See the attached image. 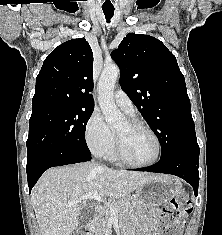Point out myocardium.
Listing matches in <instances>:
<instances>
[{
	"label": "myocardium",
	"instance_id": "f54148a6",
	"mask_svg": "<svg viewBox=\"0 0 222 235\" xmlns=\"http://www.w3.org/2000/svg\"><path fill=\"white\" fill-rule=\"evenodd\" d=\"M127 122L131 128L143 129V130L147 131L148 133H150L154 137L156 144H157V153H156L155 157L148 162H144V163L134 162L126 155L122 140L119 137V135L116 134V143H115L116 158L128 166H132V167H136V168L148 167V166L155 164L161 158L162 151H163L162 142H161L160 137L149 125H147L146 123H144L138 119L130 118L127 120Z\"/></svg>",
	"mask_w": 222,
	"mask_h": 235
}]
</instances>
